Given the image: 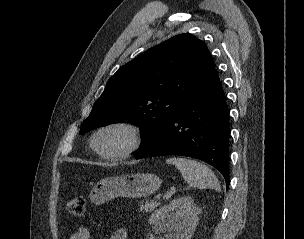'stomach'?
I'll return each instance as SVG.
<instances>
[{
	"label": "stomach",
	"mask_w": 304,
	"mask_h": 239,
	"mask_svg": "<svg viewBox=\"0 0 304 239\" xmlns=\"http://www.w3.org/2000/svg\"><path fill=\"white\" fill-rule=\"evenodd\" d=\"M160 185V178L151 173L112 176L100 180L89 197L97 205L116 197L141 198L154 193Z\"/></svg>",
	"instance_id": "0dacf381"
}]
</instances>
